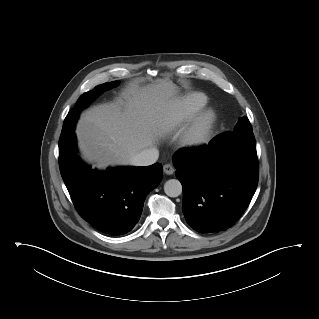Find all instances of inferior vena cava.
I'll return each instance as SVG.
<instances>
[{"instance_id":"1","label":"inferior vena cava","mask_w":319,"mask_h":319,"mask_svg":"<svg viewBox=\"0 0 319 319\" xmlns=\"http://www.w3.org/2000/svg\"><path fill=\"white\" fill-rule=\"evenodd\" d=\"M159 157L157 148L144 149L134 155L130 160V165L133 166H148L154 164Z\"/></svg>"}]
</instances>
